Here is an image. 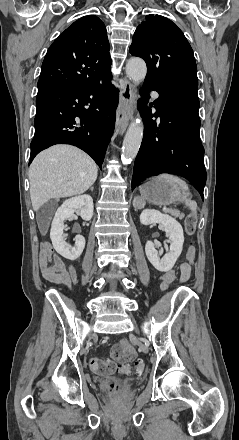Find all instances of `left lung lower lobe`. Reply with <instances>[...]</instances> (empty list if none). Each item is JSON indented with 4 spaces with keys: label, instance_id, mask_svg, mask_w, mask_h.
<instances>
[{
    "label": "left lung lower lobe",
    "instance_id": "1",
    "mask_svg": "<svg viewBox=\"0 0 239 440\" xmlns=\"http://www.w3.org/2000/svg\"><path fill=\"white\" fill-rule=\"evenodd\" d=\"M149 90L159 93L153 115L147 107ZM197 90L198 86L192 84L158 85L145 80L140 89L143 98L138 101L145 123L144 136L134 164L132 188L147 177L170 173L192 182L203 198L206 170ZM152 117H160V123Z\"/></svg>",
    "mask_w": 239,
    "mask_h": 440
}]
</instances>
